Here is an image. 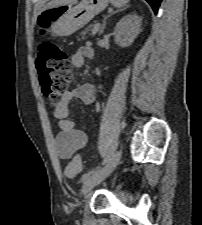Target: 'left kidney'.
I'll list each match as a JSON object with an SVG mask.
<instances>
[{"instance_id": "left-kidney-1", "label": "left kidney", "mask_w": 202, "mask_h": 225, "mask_svg": "<svg viewBox=\"0 0 202 225\" xmlns=\"http://www.w3.org/2000/svg\"><path fill=\"white\" fill-rule=\"evenodd\" d=\"M142 18L136 14L123 17L114 29L115 42L121 47L130 46L141 32Z\"/></svg>"}]
</instances>
